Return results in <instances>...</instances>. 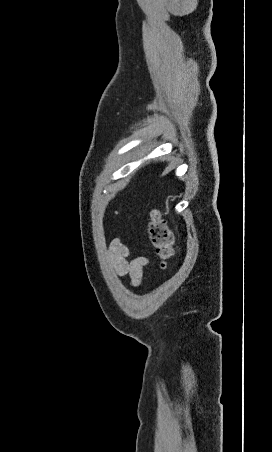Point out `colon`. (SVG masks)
Masks as SVG:
<instances>
[{
	"mask_svg": "<svg viewBox=\"0 0 272 452\" xmlns=\"http://www.w3.org/2000/svg\"><path fill=\"white\" fill-rule=\"evenodd\" d=\"M149 235L156 250L159 268L164 270L173 256V236L158 208L150 212Z\"/></svg>",
	"mask_w": 272,
	"mask_h": 452,
	"instance_id": "5ec220e1",
	"label": "colon"
}]
</instances>
